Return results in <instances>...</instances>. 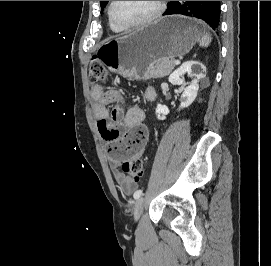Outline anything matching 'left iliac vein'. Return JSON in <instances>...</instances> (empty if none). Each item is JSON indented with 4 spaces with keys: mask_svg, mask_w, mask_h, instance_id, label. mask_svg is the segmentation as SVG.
<instances>
[{
    "mask_svg": "<svg viewBox=\"0 0 271 266\" xmlns=\"http://www.w3.org/2000/svg\"><path fill=\"white\" fill-rule=\"evenodd\" d=\"M144 209V198L140 197L136 200L135 206H134V220L138 221L140 216L143 213Z\"/></svg>",
    "mask_w": 271,
    "mask_h": 266,
    "instance_id": "obj_1",
    "label": "left iliac vein"
}]
</instances>
